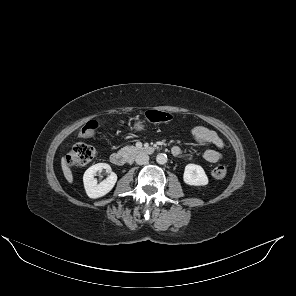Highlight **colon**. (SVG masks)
Masks as SVG:
<instances>
[{"label":"colon","mask_w":296,"mask_h":296,"mask_svg":"<svg viewBox=\"0 0 296 296\" xmlns=\"http://www.w3.org/2000/svg\"><path fill=\"white\" fill-rule=\"evenodd\" d=\"M172 114L164 111L149 110L145 113V119L151 123H165L172 120ZM99 126L98 120H91L80 130L82 138H91L95 136ZM96 155L94 147L85 143H76L66 155V163L69 167H80L90 163ZM227 169L223 165H217L212 170V175L217 179L226 176Z\"/></svg>","instance_id":"obj_1"}]
</instances>
